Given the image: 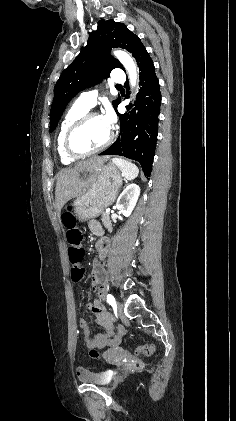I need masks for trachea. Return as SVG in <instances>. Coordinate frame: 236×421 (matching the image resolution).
I'll return each instance as SVG.
<instances>
[{
  "label": "trachea",
  "instance_id": "obj_1",
  "mask_svg": "<svg viewBox=\"0 0 236 421\" xmlns=\"http://www.w3.org/2000/svg\"><path fill=\"white\" fill-rule=\"evenodd\" d=\"M116 87H121V85L119 83H117Z\"/></svg>",
  "mask_w": 236,
  "mask_h": 421
}]
</instances>
